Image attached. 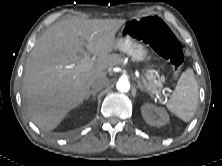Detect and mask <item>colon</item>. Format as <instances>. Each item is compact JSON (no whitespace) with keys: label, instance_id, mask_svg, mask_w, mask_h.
I'll return each mask as SVG.
<instances>
[{"label":"colon","instance_id":"1","mask_svg":"<svg viewBox=\"0 0 222 166\" xmlns=\"http://www.w3.org/2000/svg\"><path fill=\"white\" fill-rule=\"evenodd\" d=\"M124 33L149 44L157 53L168 60L177 73L184 63L181 45L168 25L156 16H143L128 23Z\"/></svg>","mask_w":222,"mask_h":166}]
</instances>
